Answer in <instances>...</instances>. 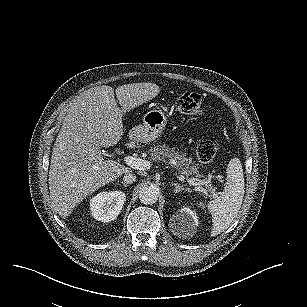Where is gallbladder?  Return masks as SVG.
I'll use <instances>...</instances> for the list:
<instances>
[{
    "label": "gallbladder",
    "mask_w": 307,
    "mask_h": 307,
    "mask_svg": "<svg viewBox=\"0 0 307 307\" xmlns=\"http://www.w3.org/2000/svg\"><path fill=\"white\" fill-rule=\"evenodd\" d=\"M103 155L108 156V153L106 151L103 152Z\"/></svg>",
    "instance_id": "obj_1"
}]
</instances>
